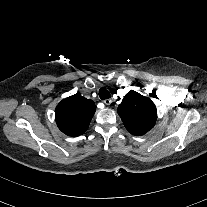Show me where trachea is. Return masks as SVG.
<instances>
[{"label": "trachea", "instance_id": "3493384b", "mask_svg": "<svg viewBox=\"0 0 207 207\" xmlns=\"http://www.w3.org/2000/svg\"><path fill=\"white\" fill-rule=\"evenodd\" d=\"M99 97L104 100V99H108L110 98V93L105 89V88H101L99 90Z\"/></svg>", "mask_w": 207, "mask_h": 207}]
</instances>
